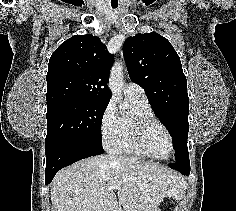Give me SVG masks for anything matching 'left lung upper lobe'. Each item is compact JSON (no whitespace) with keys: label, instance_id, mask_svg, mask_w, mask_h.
Here are the masks:
<instances>
[{"label":"left lung upper lobe","instance_id":"1","mask_svg":"<svg viewBox=\"0 0 236 211\" xmlns=\"http://www.w3.org/2000/svg\"><path fill=\"white\" fill-rule=\"evenodd\" d=\"M123 54L130 79L145 90L153 111L172 136L176 162L189 161V97L178 54L155 32L128 37Z\"/></svg>","mask_w":236,"mask_h":211}]
</instances>
